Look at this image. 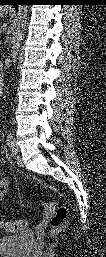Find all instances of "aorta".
<instances>
[{"label": "aorta", "mask_w": 106, "mask_h": 257, "mask_svg": "<svg viewBox=\"0 0 106 257\" xmlns=\"http://www.w3.org/2000/svg\"><path fill=\"white\" fill-rule=\"evenodd\" d=\"M26 17H27V6L25 5H19L18 6V13H17V23L19 26H23L26 22ZM19 34L16 33L12 39V53L11 56L13 59L17 57L18 54V49H19Z\"/></svg>", "instance_id": "aorta-1"}]
</instances>
